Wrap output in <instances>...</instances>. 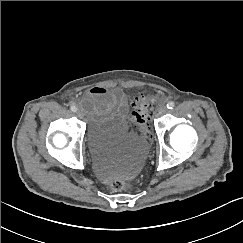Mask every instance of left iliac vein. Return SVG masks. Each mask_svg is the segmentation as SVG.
Instances as JSON below:
<instances>
[{"instance_id":"1","label":"left iliac vein","mask_w":243,"mask_h":243,"mask_svg":"<svg viewBox=\"0 0 243 243\" xmlns=\"http://www.w3.org/2000/svg\"><path fill=\"white\" fill-rule=\"evenodd\" d=\"M167 112V108L165 106H162L158 110V116H161Z\"/></svg>"}]
</instances>
